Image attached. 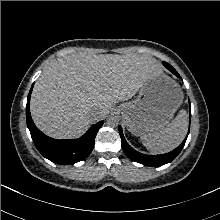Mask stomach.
I'll list each match as a JSON object with an SVG mask.
<instances>
[{
    "label": "stomach",
    "instance_id": "0dacf381",
    "mask_svg": "<svg viewBox=\"0 0 220 220\" xmlns=\"http://www.w3.org/2000/svg\"><path fill=\"white\" fill-rule=\"evenodd\" d=\"M183 102L176 81L162 70L144 82L136 99L119 106L127 129L136 136L163 129Z\"/></svg>",
    "mask_w": 220,
    "mask_h": 220
}]
</instances>
